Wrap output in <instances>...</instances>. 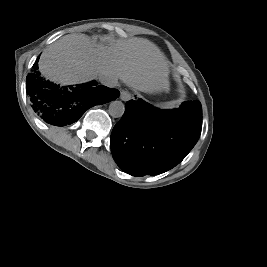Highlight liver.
I'll return each mask as SVG.
<instances>
[{"label":"liver","instance_id":"1","mask_svg":"<svg viewBox=\"0 0 267 267\" xmlns=\"http://www.w3.org/2000/svg\"><path fill=\"white\" fill-rule=\"evenodd\" d=\"M38 64L44 77L60 84L84 83L106 73L142 92L168 86V62L160 49L144 38L105 46L85 34H68L44 49Z\"/></svg>","mask_w":267,"mask_h":267}]
</instances>
